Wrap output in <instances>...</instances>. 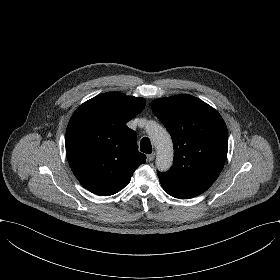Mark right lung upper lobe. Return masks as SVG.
I'll return each instance as SVG.
<instances>
[{
	"label": "right lung upper lobe",
	"mask_w": 280,
	"mask_h": 280,
	"mask_svg": "<svg viewBox=\"0 0 280 280\" xmlns=\"http://www.w3.org/2000/svg\"><path fill=\"white\" fill-rule=\"evenodd\" d=\"M145 103L144 98L107 92L73 113L66 130V155L74 175L90 192L101 196L119 192L146 162L137 149L136 132L126 125Z\"/></svg>",
	"instance_id": "obj_1"
}]
</instances>
